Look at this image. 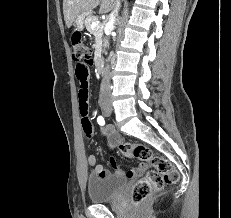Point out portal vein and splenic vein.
Masks as SVG:
<instances>
[{
  "label": "portal vein and splenic vein",
  "mask_w": 231,
  "mask_h": 218,
  "mask_svg": "<svg viewBox=\"0 0 231 218\" xmlns=\"http://www.w3.org/2000/svg\"><path fill=\"white\" fill-rule=\"evenodd\" d=\"M98 25H99V21H94V22H92L91 27H92V28H95V27H97Z\"/></svg>",
  "instance_id": "18ae733b"
}]
</instances>
